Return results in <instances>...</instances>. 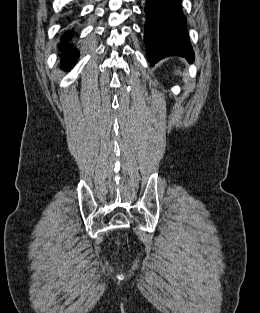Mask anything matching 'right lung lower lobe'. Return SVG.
<instances>
[{
    "label": "right lung lower lobe",
    "instance_id": "98d812e1",
    "mask_svg": "<svg viewBox=\"0 0 260 313\" xmlns=\"http://www.w3.org/2000/svg\"><path fill=\"white\" fill-rule=\"evenodd\" d=\"M74 29L66 31L62 36V43L59 45L61 46V49H65V54L63 56V63L62 67L64 69H69L70 67H73L75 64L77 58H78V50L69 49L70 44L68 41L71 39V36L73 35Z\"/></svg>",
    "mask_w": 260,
    "mask_h": 313
}]
</instances>
